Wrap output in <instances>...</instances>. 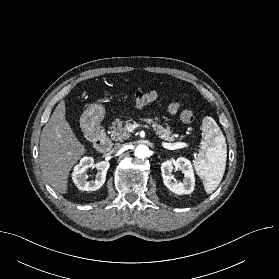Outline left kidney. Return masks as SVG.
Segmentation results:
<instances>
[{"label": "left kidney", "instance_id": "left-kidney-1", "mask_svg": "<svg viewBox=\"0 0 279 279\" xmlns=\"http://www.w3.org/2000/svg\"><path fill=\"white\" fill-rule=\"evenodd\" d=\"M174 166L181 170L184 174L182 182H174L171 172ZM161 172L165 186L173 193L182 195L190 194L194 190L195 177L191 162L179 157L177 160H167L161 164Z\"/></svg>", "mask_w": 279, "mask_h": 279}]
</instances>
